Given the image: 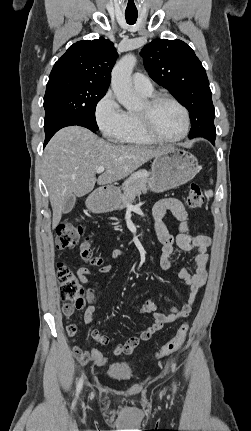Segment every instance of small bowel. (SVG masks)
Instances as JSON below:
<instances>
[{
  "label": "small bowel",
  "mask_w": 251,
  "mask_h": 431,
  "mask_svg": "<svg viewBox=\"0 0 251 431\" xmlns=\"http://www.w3.org/2000/svg\"><path fill=\"white\" fill-rule=\"evenodd\" d=\"M171 213L172 216L179 222L178 233L174 236L167 229L164 219L167 214ZM154 231L157 239L159 240L160 247V260L159 266L164 271H169L171 268L170 256L174 248H179L183 251L194 254L195 271L189 272L185 267H182L178 276L189 287V296L187 301L180 308L172 307L169 314H163L156 311V305L151 298H147L145 303L140 308L141 314H151L152 324L144 329L138 336L129 338L125 343L113 344L111 349L114 355L131 354L141 342L148 341L152 335L160 330L165 325L172 324L179 319L186 318L192 311L196 295L199 289L204 285L207 275L208 265V248L211 240L206 235H191L188 232L187 211L183 203L175 198L162 199L155 203L152 209ZM125 254L124 250H115L111 254L112 259H116ZM113 269L112 264L100 266L96 272L100 274L111 272ZM93 272L86 267H81L77 270L79 280L89 285V276ZM96 311V296L93 288L87 289V306L84 311L83 320L89 324L93 321ZM65 318L69 319L73 314L71 312H63ZM67 332L70 336H75L77 333L76 325L68 323ZM91 337L95 342L100 345H108L111 343V338L104 335L97 327L91 330ZM98 350L96 348L85 350L82 346H72L71 352L73 360L80 362L79 366L85 369L90 363V352ZM99 351V350H98Z\"/></svg>",
  "instance_id": "1"
}]
</instances>
